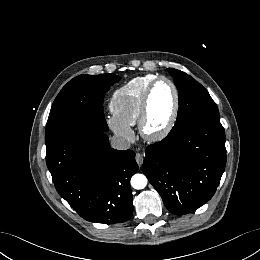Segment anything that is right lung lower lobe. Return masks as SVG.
<instances>
[{
    "instance_id": "1",
    "label": "right lung lower lobe",
    "mask_w": 260,
    "mask_h": 260,
    "mask_svg": "<svg viewBox=\"0 0 260 260\" xmlns=\"http://www.w3.org/2000/svg\"><path fill=\"white\" fill-rule=\"evenodd\" d=\"M46 162L60 196L85 220L115 224L131 218L135 153L111 148L105 131L87 126L71 132Z\"/></svg>"
}]
</instances>
